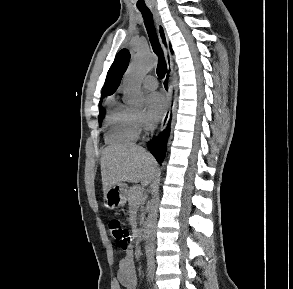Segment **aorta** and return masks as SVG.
Masks as SVG:
<instances>
[{"instance_id":"1","label":"aorta","mask_w":293,"mask_h":289,"mask_svg":"<svg viewBox=\"0 0 293 289\" xmlns=\"http://www.w3.org/2000/svg\"><path fill=\"white\" fill-rule=\"evenodd\" d=\"M157 64L153 56L138 53L135 60L128 67L124 77L125 95L128 104L139 106L144 101V93L141 90V78ZM159 192L155 191L149 205L148 217L145 224L144 239L145 250L152 257L155 249V230L158 217Z\"/></svg>"}]
</instances>
